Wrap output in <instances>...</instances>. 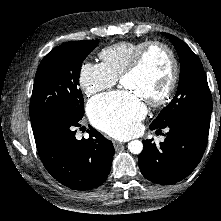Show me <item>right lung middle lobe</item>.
I'll use <instances>...</instances> for the list:
<instances>
[{"label": "right lung middle lobe", "mask_w": 221, "mask_h": 221, "mask_svg": "<svg viewBox=\"0 0 221 221\" xmlns=\"http://www.w3.org/2000/svg\"><path fill=\"white\" fill-rule=\"evenodd\" d=\"M99 41H73L48 53L36 72L30 101L31 122L52 113L81 120L84 100L79 85L82 62Z\"/></svg>", "instance_id": "dd1d6c3e"}]
</instances>
